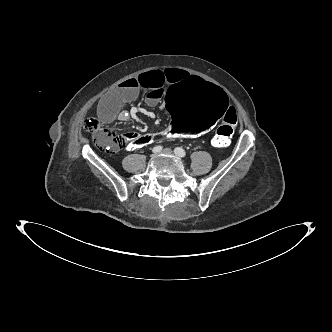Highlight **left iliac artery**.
<instances>
[{
    "label": "left iliac artery",
    "instance_id": "1",
    "mask_svg": "<svg viewBox=\"0 0 332 332\" xmlns=\"http://www.w3.org/2000/svg\"><path fill=\"white\" fill-rule=\"evenodd\" d=\"M174 152H175V154H176L177 156H179V157H185V156H186V152H185V150H184L183 148H181V147H177V148H175V149H174Z\"/></svg>",
    "mask_w": 332,
    "mask_h": 332
}]
</instances>
